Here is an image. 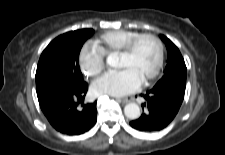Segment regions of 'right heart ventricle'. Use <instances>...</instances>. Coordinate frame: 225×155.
I'll use <instances>...</instances> for the list:
<instances>
[{"label": "right heart ventricle", "instance_id": "e07e8e85", "mask_svg": "<svg viewBox=\"0 0 225 155\" xmlns=\"http://www.w3.org/2000/svg\"><path fill=\"white\" fill-rule=\"evenodd\" d=\"M140 34L134 30H112L93 41V46L104 56L119 53L133 37Z\"/></svg>", "mask_w": 225, "mask_h": 155}]
</instances>
